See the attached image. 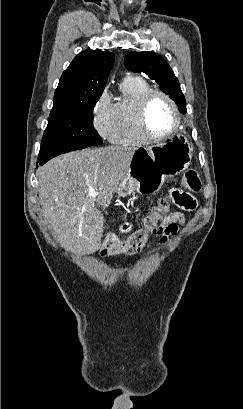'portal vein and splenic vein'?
Wrapping results in <instances>:
<instances>
[{
	"label": "portal vein and splenic vein",
	"mask_w": 243,
	"mask_h": 409,
	"mask_svg": "<svg viewBox=\"0 0 243 409\" xmlns=\"http://www.w3.org/2000/svg\"><path fill=\"white\" fill-rule=\"evenodd\" d=\"M88 193H89V196L90 197H95L98 193H97V191L94 189V188H92V187H90L89 189H88Z\"/></svg>",
	"instance_id": "18ae733b"
}]
</instances>
